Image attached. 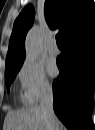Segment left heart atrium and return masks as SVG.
Segmentation results:
<instances>
[{
    "instance_id": "1",
    "label": "left heart atrium",
    "mask_w": 95,
    "mask_h": 130,
    "mask_svg": "<svg viewBox=\"0 0 95 130\" xmlns=\"http://www.w3.org/2000/svg\"><path fill=\"white\" fill-rule=\"evenodd\" d=\"M48 72L51 76H55L57 74V66H56V63L54 61H49L48 62Z\"/></svg>"
}]
</instances>
